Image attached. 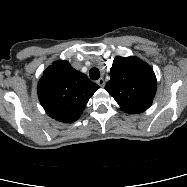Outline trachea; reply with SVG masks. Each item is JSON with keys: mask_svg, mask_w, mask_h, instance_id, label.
I'll use <instances>...</instances> for the list:
<instances>
[{"mask_svg": "<svg viewBox=\"0 0 187 187\" xmlns=\"http://www.w3.org/2000/svg\"><path fill=\"white\" fill-rule=\"evenodd\" d=\"M89 76L92 80H97L100 77V71L94 67V68L90 69Z\"/></svg>", "mask_w": 187, "mask_h": 187, "instance_id": "3493384b", "label": "trachea"}]
</instances>
